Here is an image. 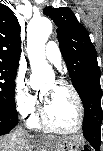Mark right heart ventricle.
Wrapping results in <instances>:
<instances>
[{
	"mask_svg": "<svg viewBox=\"0 0 103 151\" xmlns=\"http://www.w3.org/2000/svg\"><path fill=\"white\" fill-rule=\"evenodd\" d=\"M29 123H30V125H31L32 127H35V128L40 127L39 118H38L37 116H35V115L30 118Z\"/></svg>",
	"mask_w": 103,
	"mask_h": 151,
	"instance_id": "1",
	"label": "right heart ventricle"
}]
</instances>
